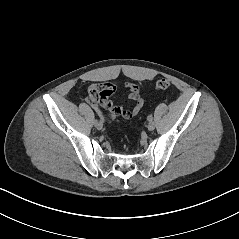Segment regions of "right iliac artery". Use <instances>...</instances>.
I'll use <instances>...</instances> for the list:
<instances>
[{
  "label": "right iliac artery",
  "instance_id": "82829eb1",
  "mask_svg": "<svg viewBox=\"0 0 239 239\" xmlns=\"http://www.w3.org/2000/svg\"><path fill=\"white\" fill-rule=\"evenodd\" d=\"M99 121L97 119L94 120V124H97Z\"/></svg>",
  "mask_w": 239,
  "mask_h": 239
}]
</instances>
